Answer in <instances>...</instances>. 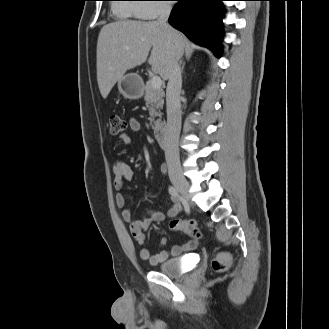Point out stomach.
<instances>
[{
	"instance_id": "0dacf381",
	"label": "stomach",
	"mask_w": 329,
	"mask_h": 329,
	"mask_svg": "<svg viewBox=\"0 0 329 329\" xmlns=\"http://www.w3.org/2000/svg\"><path fill=\"white\" fill-rule=\"evenodd\" d=\"M118 89L125 98L136 100L143 96L144 84L138 74L130 73L118 82Z\"/></svg>"
}]
</instances>
